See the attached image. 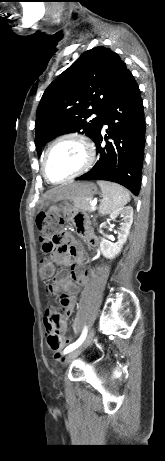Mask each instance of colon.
Returning a JSON list of instances; mask_svg holds the SVG:
<instances>
[{
  "mask_svg": "<svg viewBox=\"0 0 165 461\" xmlns=\"http://www.w3.org/2000/svg\"><path fill=\"white\" fill-rule=\"evenodd\" d=\"M57 208H51L46 212H41L36 219V224L41 232V247L46 253L53 251H66L65 236L60 231L62 225V216L57 214ZM53 264L44 259L41 261L40 276L42 280H48L54 275ZM48 344L51 350L60 352L64 351L70 345L68 340H62L61 337L52 332L48 336Z\"/></svg>",
  "mask_w": 165,
  "mask_h": 461,
  "instance_id": "1",
  "label": "colon"
}]
</instances>
